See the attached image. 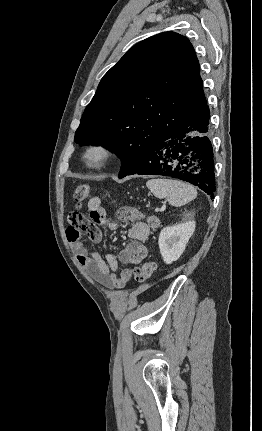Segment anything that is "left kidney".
Segmentation results:
<instances>
[{"label":"left kidney","instance_id":"5707ae66","mask_svg":"<svg viewBox=\"0 0 262 431\" xmlns=\"http://www.w3.org/2000/svg\"><path fill=\"white\" fill-rule=\"evenodd\" d=\"M195 230V222L188 221L163 228L159 235V249L166 264L179 259Z\"/></svg>","mask_w":262,"mask_h":431}]
</instances>
